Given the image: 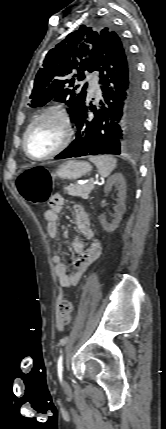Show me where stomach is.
Segmentation results:
<instances>
[{
	"mask_svg": "<svg viewBox=\"0 0 166 429\" xmlns=\"http://www.w3.org/2000/svg\"><path fill=\"white\" fill-rule=\"evenodd\" d=\"M92 166L88 162L69 160L59 166L55 172V176L66 179L75 180L89 173Z\"/></svg>",
	"mask_w": 166,
	"mask_h": 429,
	"instance_id": "0dacf381",
	"label": "stomach"
}]
</instances>
